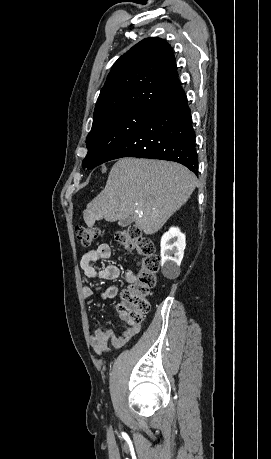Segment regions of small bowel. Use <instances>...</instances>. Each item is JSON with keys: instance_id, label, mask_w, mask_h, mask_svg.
Here are the masks:
<instances>
[{"instance_id": "small-bowel-1", "label": "small bowel", "mask_w": 271, "mask_h": 459, "mask_svg": "<svg viewBox=\"0 0 271 459\" xmlns=\"http://www.w3.org/2000/svg\"><path fill=\"white\" fill-rule=\"evenodd\" d=\"M111 247L107 243L100 244L96 249L86 252L80 259V267L89 278H99L103 280H116L121 275V270L116 265H106L100 269L94 266V263L99 260H106L111 256ZM125 280L128 283L136 281V275L131 270H126L124 273ZM118 287L111 285L107 287L101 294L102 299H113L118 294ZM85 299H91L94 296L92 288L86 286L82 290ZM140 331V325H132L125 328L120 336L112 329H96L90 336V344L94 351L100 356L109 353L108 343L111 342L116 348H120L128 343Z\"/></svg>"}]
</instances>
